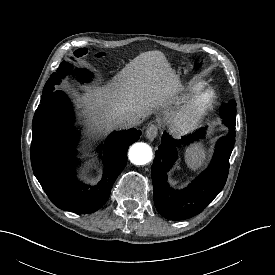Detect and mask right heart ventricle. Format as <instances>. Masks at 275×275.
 Returning <instances> with one entry per match:
<instances>
[{
	"label": "right heart ventricle",
	"instance_id": "right-heart-ventricle-1",
	"mask_svg": "<svg viewBox=\"0 0 275 275\" xmlns=\"http://www.w3.org/2000/svg\"><path fill=\"white\" fill-rule=\"evenodd\" d=\"M204 85L201 81H191L185 87H183V94H188L190 92L196 91L202 88Z\"/></svg>",
	"mask_w": 275,
	"mask_h": 275
}]
</instances>
